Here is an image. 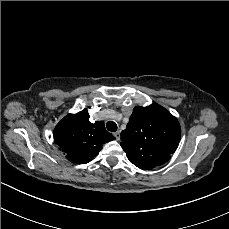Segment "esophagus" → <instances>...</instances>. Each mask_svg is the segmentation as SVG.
Returning a JSON list of instances; mask_svg holds the SVG:
<instances>
[{"label": "esophagus", "instance_id": "obj_1", "mask_svg": "<svg viewBox=\"0 0 229 229\" xmlns=\"http://www.w3.org/2000/svg\"><path fill=\"white\" fill-rule=\"evenodd\" d=\"M114 136L118 141L120 140V132L119 131L115 132Z\"/></svg>", "mask_w": 229, "mask_h": 229}]
</instances>
